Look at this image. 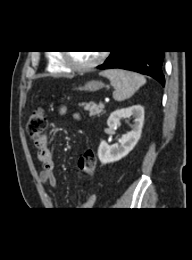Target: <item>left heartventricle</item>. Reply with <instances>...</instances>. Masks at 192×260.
<instances>
[{
	"instance_id": "left-heart-ventricle-1",
	"label": "left heart ventricle",
	"mask_w": 192,
	"mask_h": 260,
	"mask_svg": "<svg viewBox=\"0 0 192 260\" xmlns=\"http://www.w3.org/2000/svg\"><path fill=\"white\" fill-rule=\"evenodd\" d=\"M98 52L94 51H75L70 53L71 60L78 65H86L98 57Z\"/></svg>"
}]
</instances>
